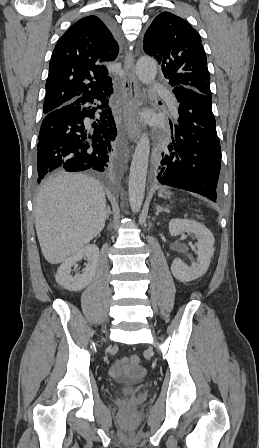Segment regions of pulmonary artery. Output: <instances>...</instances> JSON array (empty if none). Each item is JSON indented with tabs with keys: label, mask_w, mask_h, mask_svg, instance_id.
Instances as JSON below:
<instances>
[{
	"label": "pulmonary artery",
	"mask_w": 259,
	"mask_h": 448,
	"mask_svg": "<svg viewBox=\"0 0 259 448\" xmlns=\"http://www.w3.org/2000/svg\"><path fill=\"white\" fill-rule=\"evenodd\" d=\"M164 99L172 110H174V111L177 110V102L172 95L165 96Z\"/></svg>",
	"instance_id": "obj_1"
}]
</instances>
